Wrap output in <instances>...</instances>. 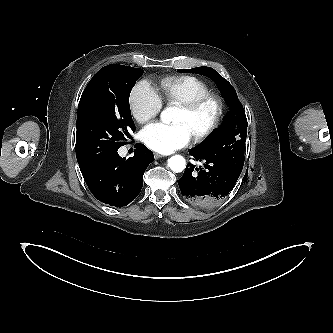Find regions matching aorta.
I'll return each instance as SVG.
<instances>
[{"label":"aorta","instance_id":"762f6f07","mask_svg":"<svg viewBox=\"0 0 333 333\" xmlns=\"http://www.w3.org/2000/svg\"><path fill=\"white\" fill-rule=\"evenodd\" d=\"M176 110L173 107H167L161 112L163 123L169 124L173 120ZM168 166L174 172H182L186 167V161L181 155H175L168 159Z\"/></svg>","mask_w":333,"mask_h":333}]
</instances>
